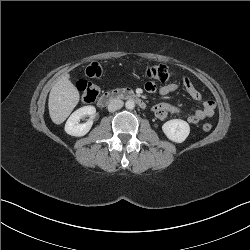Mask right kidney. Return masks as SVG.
I'll list each match as a JSON object with an SVG mask.
<instances>
[{
  "instance_id": "obj_1",
  "label": "right kidney",
  "mask_w": 250,
  "mask_h": 250,
  "mask_svg": "<svg viewBox=\"0 0 250 250\" xmlns=\"http://www.w3.org/2000/svg\"><path fill=\"white\" fill-rule=\"evenodd\" d=\"M96 113V109L94 106H84L77 109L75 112L71 114L65 124V131L67 134L81 137L86 135L92 127L93 121L88 120L84 124H80V119L88 115L90 118H93Z\"/></svg>"
}]
</instances>
